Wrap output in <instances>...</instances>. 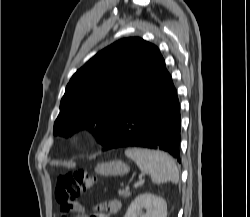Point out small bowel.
Masks as SVG:
<instances>
[{
  "instance_id": "c3829d8e",
  "label": "small bowel",
  "mask_w": 250,
  "mask_h": 217,
  "mask_svg": "<svg viewBox=\"0 0 250 217\" xmlns=\"http://www.w3.org/2000/svg\"><path fill=\"white\" fill-rule=\"evenodd\" d=\"M102 211L104 212V217L110 215H115L121 211L122 203L119 199H112L105 204L101 205ZM66 212H72L76 214V217H88L84 212V207L79 204L70 209H63Z\"/></svg>"
}]
</instances>
